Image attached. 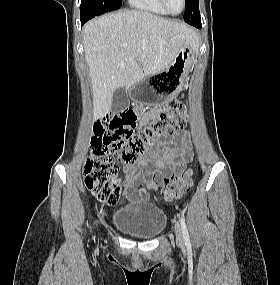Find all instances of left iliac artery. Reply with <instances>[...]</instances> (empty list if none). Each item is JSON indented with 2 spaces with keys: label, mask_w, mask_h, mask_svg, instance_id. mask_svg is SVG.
<instances>
[{
  "label": "left iliac artery",
  "mask_w": 280,
  "mask_h": 285,
  "mask_svg": "<svg viewBox=\"0 0 280 285\" xmlns=\"http://www.w3.org/2000/svg\"><path fill=\"white\" fill-rule=\"evenodd\" d=\"M180 223H181V228H182V233H183L185 245H186L187 249H191V243H190L188 229H187V226L185 223V219L182 216L180 218Z\"/></svg>",
  "instance_id": "1"
}]
</instances>
